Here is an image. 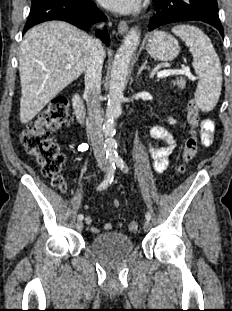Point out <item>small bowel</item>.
<instances>
[{
	"mask_svg": "<svg viewBox=\"0 0 232 311\" xmlns=\"http://www.w3.org/2000/svg\"><path fill=\"white\" fill-rule=\"evenodd\" d=\"M168 121L171 125L175 124V121L171 118ZM213 131H214V122L210 119H205L201 124V136H200L203 145L210 146L213 144L214 142ZM150 135L155 140L163 143L161 147L148 148L149 154L153 159V166L155 171L161 173L167 168L169 164V157L171 156L176 147V140L170 131L159 125H153L150 128ZM118 205L119 203L115 201L114 206L117 207ZM85 222L86 224H91L92 218L90 216H87L85 218ZM111 227H112L111 223H106L103 228L105 230H108ZM90 230L93 234H98L101 232V229L95 226H92Z\"/></svg>",
	"mask_w": 232,
	"mask_h": 311,
	"instance_id": "c3829d8e",
	"label": "small bowel"
}]
</instances>
